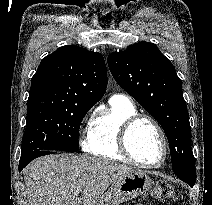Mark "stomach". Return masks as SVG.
Instances as JSON below:
<instances>
[{
  "label": "stomach",
  "mask_w": 212,
  "mask_h": 205,
  "mask_svg": "<svg viewBox=\"0 0 212 205\" xmlns=\"http://www.w3.org/2000/svg\"><path fill=\"white\" fill-rule=\"evenodd\" d=\"M152 179L145 172L132 171L113 182L97 205H120L145 194L152 187Z\"/></svg>",
  "instance_id": "1"
}]
</instances>
